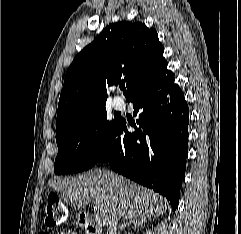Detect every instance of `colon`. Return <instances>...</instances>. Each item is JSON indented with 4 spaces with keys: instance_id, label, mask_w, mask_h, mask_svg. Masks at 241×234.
I'll return each instance as SVG.
<instances>
[{
    "instance_id": "colon-1",
    "label": "colon",
    "mask_w": 241,
    "mask_h": 234,
    "mask_svg": "<svg viewBox=\"0 0 241 234\" xmlns=\"http://www.w3.org/2000/svg\"><path fill=\"white\" fill-rule=\"evenodd\" d=\"M67 218V209L56 195H50L47 199L44 222L52 228L63 223ZM43 234V233H42Z\"/></svg>"
}]
</instances>
